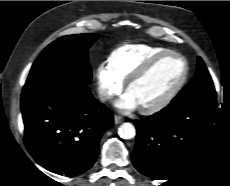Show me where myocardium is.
I'll list each match as a JSON object with an SVG mask.
<instances>
[{
  "label": "myocardium",
  "mask_w": 230,
  "mask_h": 186,
  "mask_svg": "<svg viewBox=\"0 0 230 186\" xmlns=\"http://www.w3.org/2000/svg\"><path fill=\"white\" fill-rule=\"evenodd\" d=\"M168 56H176L180 58L184 63V73L181 77V79L177 82V84L159 101L156 103L141 107L140 111L144 114H153L156 113L163 108H165L168 104L172 102V100L177 96V94L180 92V90L184 87L185 83L187 82L188 76H189V63L187 59L180 53L172 50H168L162 53H159L157 55H154L150 59H148L138 70H136L127 80L125 84V88L128 91L129 87L135 83L136 81L140 80L144 76H146L152 68L162 59L168 57Z\"/></svg>",
  "instance_id": "1"
}]
</instances>
